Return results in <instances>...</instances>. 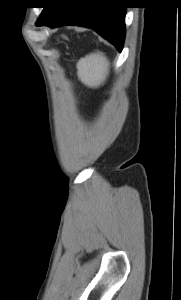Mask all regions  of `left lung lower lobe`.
<instances>
[{
    "label": "left lung lower lobe",
    "instance_id": "0a47b994",
    "mask_svg": "<svg viewBox=\"0 0 181 300\" xmlns=\"http://www.w3.org/2000/svg\"><path fill=\"white\" fill-rule=\"evenodd\" d=\"M126 7L120 0H56L37 26H84L95 30L121 52Z\"/></svg>",
    "mask_w": 181,
    "mask_h": 300
}]
</instances>
